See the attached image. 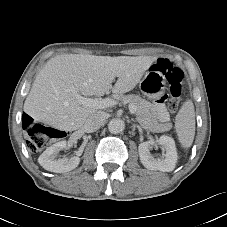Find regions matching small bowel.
Masks as SVG:
<instances>
[{
  "label": "small bowel",
  "instance_id": "small-bowel-1",
  "mask_svg": "<svg viewBox=\"0 0 227 227\" xmlns=\"http://www.w3.org/2000/svg\"><path fill=\"white\" fill-rule=\"evenodd\" d=\"M168 100L169 95L167 93H162L160 99H157L152 106L153 114L160 122H165L168 119V113L164 106V102H167Z\"/></svg>",
  "mask_w": 227,
  "mask_h": 227
}]
</instances>
